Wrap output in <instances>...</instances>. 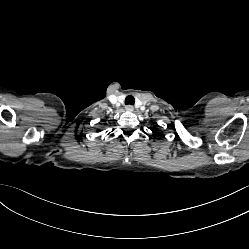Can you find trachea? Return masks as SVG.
Instances as JSON below:
<instances>
[{"label": "trachea", "mask_w": 249, "mask_h": 249, "mask_svg": "<svg viewBox=\"0 0 249 249\" xmlns=\"http://www.w3.org/2000/svg\"><path fill=\"white\" fill-rule=\"evenodd\" d=\"M135 103V99L132 95H128L126 98H125V104L126 105H134Z\"/></svg>", "instance_id": "trachea-1"}]
</instances>
